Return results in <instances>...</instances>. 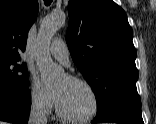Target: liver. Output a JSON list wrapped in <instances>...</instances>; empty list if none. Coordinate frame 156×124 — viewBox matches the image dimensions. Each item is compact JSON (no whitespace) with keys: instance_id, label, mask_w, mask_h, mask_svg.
<instances>
[{"instance_id":"6515ba94","label":"liver","mask_w":156,"mask_h":124,"mask_svg":"<svg viewBox=\"0 0 156 124\" xmlns=\"http://www.w3.org/2000/svg\"><path fill=\"white\" fill-rule=\"evenodd\" d=\"M0 124H6V123L0 121Z\"/></svg>"}]
</instances>
